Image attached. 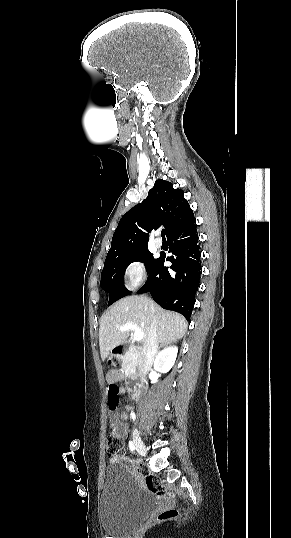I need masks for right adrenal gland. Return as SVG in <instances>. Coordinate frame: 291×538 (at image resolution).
Masks as SVG:
<instances>
[{
    "instance_id": "obj_1",
    "label": "right adrenal gland",
    "mask_w": 291,
    "mask_h": 538,
    "mask_svg": "<svg viewBox=\"0 0 291 538\" xmlns=\"http://www.w3.org/2000/svg\"><path fill=\"white\" fill-rule=\"evenodd\" d=\"M164 345H165V344H161V345L158 347V350H159L161 347H163Z\"/></svg>"
}]
</instances>
